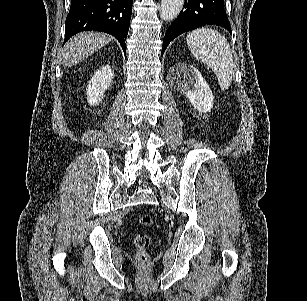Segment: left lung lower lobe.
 I'll list each match as a JSON object with an SVG mask.
<instances>
[{"label":"left lung lower lobe","mask_w":307,"mask_h":301,"mask_svg":"<svg viewBox=\"0 0 307 301\" xmlns=\"http://www.w3.org/2000/svg\"><path fill=\"white\" fill-rule=\"evenodd\" d=\"M209 24L223 26L231 33L224 0H185L184 10L169 26L164 36L161 56L178 35Z\"/></svg>","instance_id":"obj_1"}]
</instances>
